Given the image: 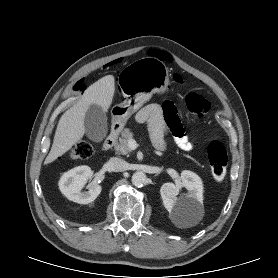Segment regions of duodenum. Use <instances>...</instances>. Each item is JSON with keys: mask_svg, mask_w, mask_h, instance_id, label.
<instances>
[{"mask_svg": "<svg viewBox=\"0 0 278 278\" xmlns=\"http://www.w3.org/2000/svg\"><path fill=\"white\" fill-rule=\"evenodd\" d=\"M120 130H121V127L118 124H115L112 127L110 133L108 134V136L106 137V139L103 142V145H102L103 150H105V151L110 150L114 146V144L118 138Z\"/></svg>", "mask_w": 278, "mask_h": 278, "instance_id": "410a0bca", "label": "duodenum"}]
</instances>
